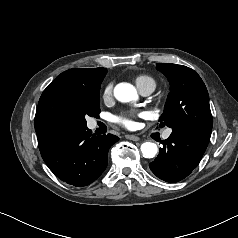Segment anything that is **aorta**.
<instances>
[{
  "label": "aorta",
  "instance_id": "obj_1",
  "mask_svg": "<svg viewBox=\"0 0 238 238\" xmlns=\"http://www.w3.org/2000/svg\"><path fill=\"white\" fill-rule=\"evenodd\" d=\"M114 96L120 102H130L137 98V92L131 84L119 83L114 88ZM140 149L145 158H153L158 151L157 145L153 142H144Z\"/></svg>",
  "mask_w": 238,
  "mask_h": 238
}]
</instances>
